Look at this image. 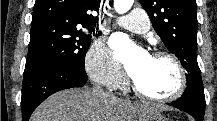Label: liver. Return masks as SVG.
<instances>
[{"mask_svg": "<svg viewBox=\"0 0 217 121\" xmlns=\"http://www.w3.org/2000/svg\"><path fill=\"white\" fill-rule=\"evenodd\" d=\"M158 113L148 104L133 105L116 97H99L88 89H66L48 97L31 115L30 121H143Z\"/></svg>", "mask_w": 217, "mask_h": 121, "instance_id": "1", "label": "liver"}]
</instances>
